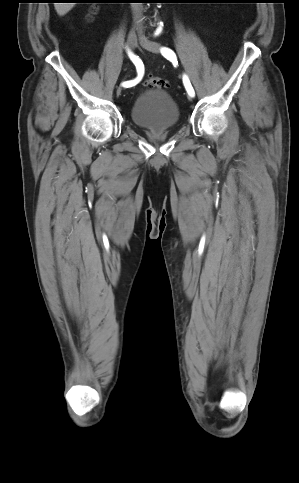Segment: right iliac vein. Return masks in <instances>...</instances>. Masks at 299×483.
Masks as SVG:
<instances>
[{
  "label": "right iliac vein",
  "instance_id": "right-iliac-vein-1",
  "mask_svg": "<svg viewBox=\"0 0 299 483\" xmlns=\"http://www.w3.org/2000/svg\"><path fill=\"white\" fill-rule=\"evenodd\" d=\"M128 46L131 50H134L137 46V35L134 31H130L128 35ZM122 91V88L119 87L117 89V95H119Z\"/></svg>",
  "mask_w": 299,
  "mask_h": 483
}]
</instances>
